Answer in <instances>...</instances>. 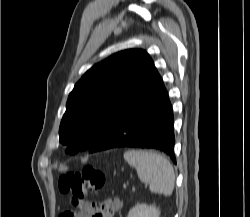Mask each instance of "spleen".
<instances>
[{"mask_svg": "<svg viewBox=\"0 0 250 217\" xmlns=\"http://www.w3.org/2000/svg\"><path fill=\"white\" fill-rule=\"evenodd\" d=\"M124 159L137 170L141 182L156 194L170 196L175 186L174 169L164 156L153 151L128 150Z\"/></svg>", "mask_w": 250, "mask_h": 217, "instance_id": "3e777b00", "label": "spleen"}]
</instances>
